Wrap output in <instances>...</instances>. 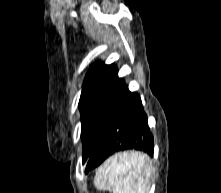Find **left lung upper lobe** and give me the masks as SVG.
Listing matches in <instances>:
<instances>
[{
    "instance_id": "5c2ea615",
    "label": "left lung upper lobe",
    "mask_w": 221,
    "mask_h": 193,
    "mask_svg": "<svg viewBox=\"0 0 221 193\" xmlns=\"http://www.w3.org/2000/svg\"><path fill=\"white\" fill-rule=\"evenodd\" d=\"M114 64L95 63L88 71L79 101L83 163L98 144L109 122L108 113L123 83Z\"/></svg>"
}]
</instances>
